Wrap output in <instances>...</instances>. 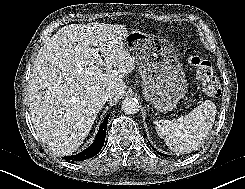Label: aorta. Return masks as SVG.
Wrapping results in <instances>:
<instances>
[{
    "mask_svg": "<svg viewBox=\"0 0 245 189\" xmlns=\"http://www.w3.org/2000/svg\"><path fill=\"white\" fill-rule=\"evenodd\" d=\"M139 107V102L135 98L127 97L122 102V110L126 114H136Z\"/></svg>",
    "mask_w": 245,
    "mask_h": 189,
    "instance_id": "aorta-1",
    "label": "aorta"
}]
</instances>
